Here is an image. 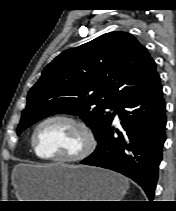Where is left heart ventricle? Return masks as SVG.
<instances>
[{
	"label": "left heart ventricle",
	"instance_id": "obj_1",
	"mask_svg": "<svg viewBox=\"0 0 176 211\" xmlns=\"http://www.w3.org/2000/svg\"><path fill=\"white\" fill-rule=\"evenodd\" d=\"M36 144L43 156L68 157L82 150L84 135L77 126L69 122L52 121L40 128Z\"/></svg>",
	"mask_w": 176,
	"mask_h": 211
}]
</instances>
